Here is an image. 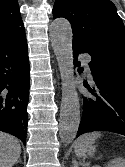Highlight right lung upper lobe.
Returning <instances> with one entry per match:
<instances>
[{"label": "right lung upper lobe", "instance_id": "1", "mask_svg": "<svg viewBox=\"0 0 125 167\" xmlns=\"http://www.w3.org/2000/svg\"><path fill=\"white\" fill-rule=\"evenodd\" d=\"M25 34L17 0H0V41Z\"/></svg>", "mask_w": 125, "mask_h": 167}]
</instances>
